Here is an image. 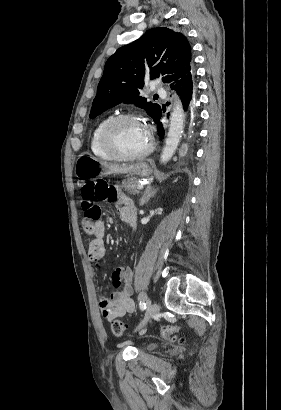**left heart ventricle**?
<instances>
[{"label":"left heart ventricle","mask_w":281,"mask_h":410,"mask_svg":"<svg viewBox=\"0 0 281 410\" xmlns=\"http://www.w3.org/2000/svg\"><path fill=\"white\" fill-rule=\"evenodd\" d=\"M112 140L116 147L127 154L143 151L149 145V135L140 122L122 121L114 129Z\"/></svg>","instance_id":"obj_1"}]
</instances>
